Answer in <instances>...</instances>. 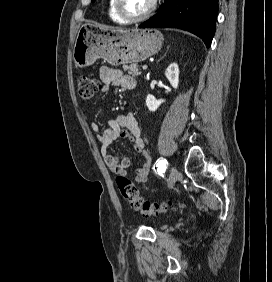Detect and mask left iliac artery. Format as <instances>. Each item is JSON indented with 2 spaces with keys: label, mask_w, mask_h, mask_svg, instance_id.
Here are the masks:
<instances>
[{
  "label": "left iliac artery",
  "mask_w": 272,
  "mask_h": 282,
  "mask_svg": "<svg viewBox=\"0 0 272 282\" xmlns=\"http://www.w3.org/2000/svg\"><path fill=\"white\" fill-rule=\"evenodd\" d=\"M167 167V160L161 159L156 162V170L159 174H163Z\"/></svg>",
  "instance_id": "1"
}]
</instances>
